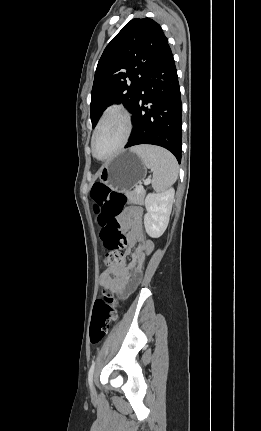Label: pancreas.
<instances>
[{"label": "pancreas", "instance_id": "pancreas-1", "mask_svg": "<svg viewBox=\"0 0 261 431\" xmlns=\"http://www.w3.org/2000/svg\"><path fill=\"white\" fill-rule=\"evenodd\" d=\"M128 200L131 203L142 205L145 197V191L138 192L137 189L126 193Z\"/></svg>", "mask_w": 261, "mask_h": 431}]
</instances>
